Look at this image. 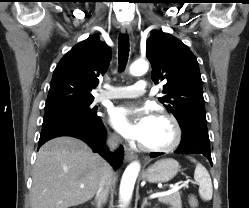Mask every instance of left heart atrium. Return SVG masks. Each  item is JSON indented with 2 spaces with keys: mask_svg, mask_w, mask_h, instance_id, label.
<instances>
[{
  "mask_svg": "<svg viewBox=\"0 0 249 208\" xmlns=\"http://www.w3.org/2000/svg\"><path fill=\"white\" fill-rule=\"evenodd\" d=\"M149 109L134 105L115 107L111 110V125L126 139L144 143L152 126Z\"/></svg>",
  "mask_w": 249,
  "mask_h": 208,
  "instance_id": "left-heart-atrium-1",
  "label": "left heart atrium"
}]
</instances>
